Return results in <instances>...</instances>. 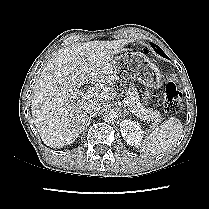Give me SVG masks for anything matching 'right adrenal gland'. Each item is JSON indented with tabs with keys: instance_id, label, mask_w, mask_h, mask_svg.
<instances>
[{
	"instance_id": "2a0ac1e0",
	"label": "right adrenal gland",
	"mask_w": 209,
	"mask_h": 209,
	"mask_svg": "<svg viewBox=\"0 0 209 209\" xmlns=\"http://www.w3.org/2000/svg\"><path fill=\"white\" fill-rule=\"evenodd\" d=\"M91 118L92 116L86 117V123L84 124L82 131H84L87 128V126L90 124Z\"/></svg>"
}]
</instances>
